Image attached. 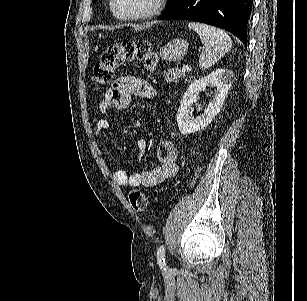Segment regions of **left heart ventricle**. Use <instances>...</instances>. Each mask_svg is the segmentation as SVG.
I'll return each mask as SVG.
<instances>
[{
	"mask_svg": "<svg viewBox=\"0 0 307 301\" xmlns=\"http://www.w3.org/2000/svg\"><path fill=\"white\" fill-rule=\"evenodd\" d=\"M153 0H118L119 5L117 6V13H122L123 11H138L139 15L143 11H148Z\"/></svg>",
	"mask_w": 307,
	"mask_h": 301,
	"instance_id": "b2bd125f",
	"label": "left heart ventricle"
}]
</instances>
